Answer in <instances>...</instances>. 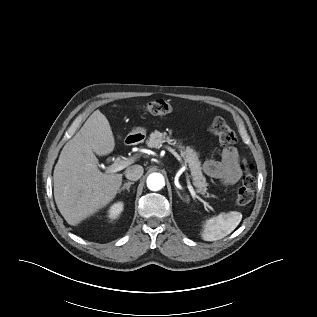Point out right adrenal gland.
Masks as SVG:
<instances>
[{
	"label": "right adrenal gland",
	"instance_id": "obj_1",
	"mask_svg": "<svg viewBox=\"0 0 317 317\" xmlns=\"http://www.w3.org/2000/svg\"><path fill=\"white\" fill-rule=\"evenodd\" d=\"M134 182H127L123 185L122 188L119 189L118 193H121L123 190H127L130 191V186L133 184Z\"/></svg>",
	"mask_w": 317,
	"mask_h": 317
}]
</instances>
